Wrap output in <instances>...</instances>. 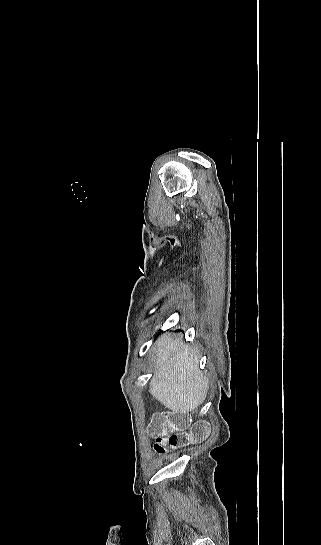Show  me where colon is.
<instances>
[{"instance_id":"1","label":"colon","mask_w":321,"mask_h":545,"mask_svg":"<svg viewBox=\"0 0 321 545\" xmlns=\"http://www.w3.org/2000/svg\"><path fill=\"white\" fill-rule=\"evenodd\" d=\"M188 425L189 417L183 412L154 414L149 424V434L155 439V451L164 454L203 441L209 434V425L206 422H198L190 431H186Z\"/></svg>"}]
</instances>
